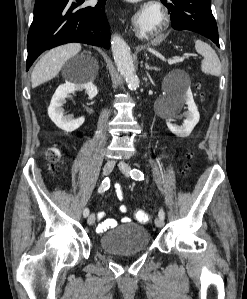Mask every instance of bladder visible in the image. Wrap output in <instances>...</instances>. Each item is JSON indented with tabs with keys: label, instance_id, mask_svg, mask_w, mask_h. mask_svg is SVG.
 <instances>
[{
	"label": "bladder",
	"instance_id": "bladder-1",
	"mask_svg": "<svg viewBox=\"0 0 247 299\" xmlns=\"http://www.w3.org/2000/svg\"><path fill=\"white\" fill-rule=\"evenodd\" d=\"M99 244L107 253L130 255L147 250L151 244V237L146 227L129 222L103 233Z\"/></svg>",
	"mask_w": 247,
	"mask_h": 299
}]
</instances>
